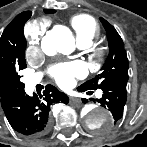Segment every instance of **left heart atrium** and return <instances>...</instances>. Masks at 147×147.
<instances>
[{
    "mask_svg": "<svg viewBox=\"0 0 147 147\" xmlns=\"http://www.w3.org/2000/svg\"><path fill=\"white\" fill-rule=\"evenodd\" d=\"M85 75V67L79 61L61 64L54 68L52 76L57 84L63 88H68L74 84L75 78Z\"/></svg>",
    "mask_w": 147,
    "mask_h": 147,
    "instance_id": "obj_1",
    "label": "left heart atrium"
}]
</instances>
